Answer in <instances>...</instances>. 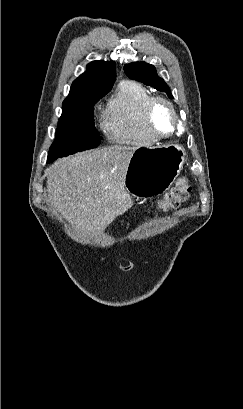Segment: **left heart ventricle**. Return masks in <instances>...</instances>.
Instances as JSON below:
<instances>
[{
  "label": "left heart ventricle",
  "instance_id": "obj_1",
  "mask_svg": "<svg viewBox=\"0 0 243 409\" xmlns=\"http://www.w3.org/2000/svg\"><path fill=\"white\" fill-rule=\"evenodd\" d=\"M153 124L155 129L162 134L170 132L174 127V119L169 108L164 104H159L153 114Z\"/></svg>",
  "mask_w": 243,
  "mask_h": 409
}]
</instances>
